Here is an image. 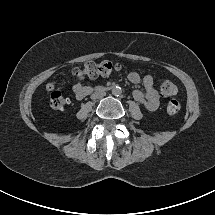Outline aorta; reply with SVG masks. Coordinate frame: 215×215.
I'll list each match as a JSON object with an SVG mask.
<instances>
[{
	"label": "aorta",
	"mask_w": 215,
	"mask_h": 215,
	"mask_svg": "<svg viewBox=\"0 0 215 215\" xmlns=\"http://www.w3.org/2000/svg\"><path fill=\"white\" fill-rule=\"evenodd\" d=\"M112 94L115 96V97H118L120 94H121V90L119 88H113L112 89Z\"/></svg>",
	"instance_id": "1"
}]
</instances>
